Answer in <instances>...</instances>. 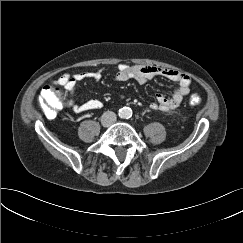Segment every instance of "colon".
Wrapping results in <instances>:
<instances>
[{
	"label": "colon",
	"instance_id": "obj_1",
	"mask_svg": "<svg viewBox=\"0 0 243 243\" xmlns=\"http://www.w3.org/2000/svg\"><path fill=\"white\" fill-rule=\"evenodd\" d=\"M189 103L191 105H199L201 99L199 96L193 95L191 96ZM39 104L45 115L49 118H53L63 106V95L61 90L56 86L45 87L39 96Z\"/></svg>",
	"mask_w": 243,
	"mask_h": 243
}]
</instances>
